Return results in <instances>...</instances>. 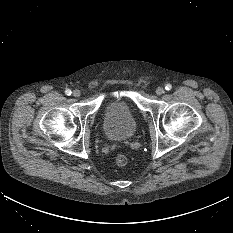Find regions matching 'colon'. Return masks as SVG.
I'll use <instances>...</instances> for the list:
<instances>
[{"label": "colon", "instance_id": "1", "mask_svg": "<svg viewBox=\"0 0 233 233\" xmlns=\"http://www.w3.org/2000/svg\"><path fill=\"white\" fill-rule=\"evenodd\" d=\"M128 163V157L124 154H119L116 157V164L118 166H125Z\"/></svg>", "mask_w": 233, "mask_h": 233}]
</instances>
